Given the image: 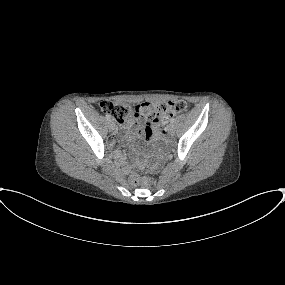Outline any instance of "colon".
Masks as SVG:
<instances>
[{
	"label": "colon",
	"instance_id": "colon-1",
	"mask_svg": "<svg viewBox=\"0 0 285 285\" xmlns=\"http://www.w3.org/2000/svg\"><path fill=\"white\" fill-rule=\"evenodd\" d=\"M187 104L183 100L166 101L162 103L143 102L131 108L124 103L102 101L101 110L123 126L129 124L132 116H138L153 122L166 121L174 114L184 111ZM137 179L136 177L134 178Z\"/></svg>",
	"mask_w": 285,
	"mask_h": 285
}]
</instances>
